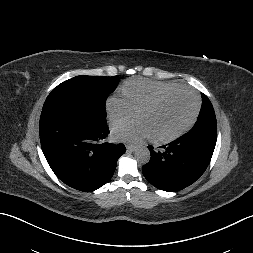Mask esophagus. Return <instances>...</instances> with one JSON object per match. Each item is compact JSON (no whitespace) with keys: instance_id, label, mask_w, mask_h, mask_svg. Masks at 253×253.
Instances as JSON below:
<instances>
[{"instance_id":"34e87169","label":"esophagus","mask_w":253,"mask_h":253,"mask_svg":"<svg viewBox=\"0 0 253 253\" xmlns=\"http://www.w3.org/2000/svg\"><path fill=\"white\" fill-rule=\"evenodd\" d=\"M126 149H127V151H129V152H133V151L136 149V147L133 146V145H127V146H126Z\"/></svg>"}]
</instances>
